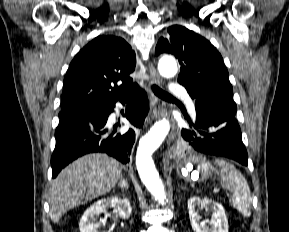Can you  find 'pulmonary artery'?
<instances>
[{
    "mask_svg": "<svg viewBox=\"0 0 289 232\" xmlns=\"http://www.w3.org/2000/svg\"><path fill=\"white\" fill-rule=\"evenodd\" d=\"M169 91L173 94L181 95L184 98L186 104L188 105L190 111L193 114L195 113L194 103L191 100V98L189 97V95L187 94V92L183 86H181L180 84H177V83H172L169 86Z\"/></svg>",
    "mask_w": 289,
    "mask_h": 232,
    "instance_id": "pulmonary-artery-1",
    "label": "pulmonary artery"
}]
</instances>
